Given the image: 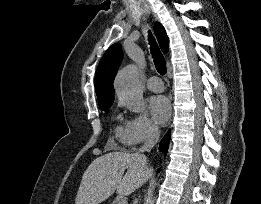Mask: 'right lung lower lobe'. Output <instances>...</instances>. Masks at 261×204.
I'll use <instances>...</instances> for the list:
<instances>
[{
  "mask_svg": "<svg viewBox=\"0 0 261 204\" xmlns=\"http://www.w3.org/2000/svg\"><path fill=\"white\" fill-rule=\"evenodd\" d=\"M170 141V131L164 136L160 142L159 150L162 151L165 155L167 154Z\"/></svg>",
  "mask_w": 261,
  "mask_h": 204,
  "instance_id": "obj_1",
  "label": "right lung lower lobe"
}]
</instances>
